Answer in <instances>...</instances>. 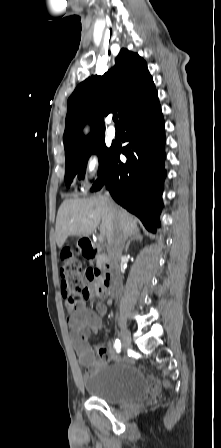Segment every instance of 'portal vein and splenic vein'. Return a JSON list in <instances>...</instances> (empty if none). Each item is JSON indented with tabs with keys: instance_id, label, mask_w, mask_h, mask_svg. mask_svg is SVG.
Listing matches in <instances>:
<instances>
[{
	"instance_id": "portal-vein-and-splenic-vein-1",
	"label": "portal vein and splenic vein",
	"mask_w": 221,
	"mask_h": 448,
	"mask_svg": "<svg viewBox=\"0 0 221 448\" xmlns=\"http://www.w3.org/2000/svg\"><path fill=\"white\" fill-rule=\"evenodd\" d=\"M98 239H99L100 242H103V241H104V236L101 234V235L98 237Z\"/></svg>"
}]
</instances>
